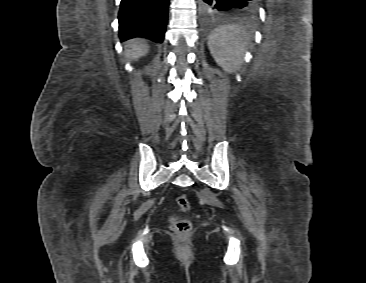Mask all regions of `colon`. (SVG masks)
<instances>
[{
    "label": "colon",
    "mask_w": 366,
    "mask_h": 283,
    "mask_svg": "<svg viewBox=\"0 0 366 283\" xmlns=\"http://www.w3.org/2000/svg\"><path fill=\"white\" fill-rule=\"evenodd\" d=\"M179 209L186 212L190 209V201L185 194H181L176 199ZM172 228L181 235H185L190 232L191 224L188 220L181 219L172 223Z\"/></svg>",
    "instance_id": "5ec220e1"
}]
</instances>
